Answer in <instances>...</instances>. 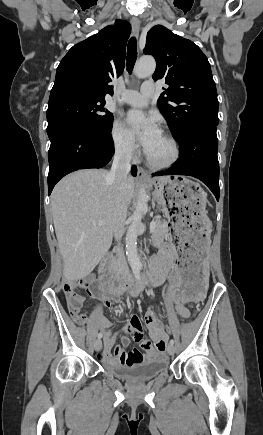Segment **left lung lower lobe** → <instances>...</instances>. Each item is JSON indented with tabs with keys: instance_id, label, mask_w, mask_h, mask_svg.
I'll return each mask as SVG.
<instances>
[{
	"instance_id": "left-lung-lower-lobe-1",
	"label": "left lung lower lobe",
	"mask_w": 263,
	"mask_h": 435,
	"mask_svg": "<svg viewBox=\"0 0 263 435\" xmlns=\"http://www.w3.org/2000/svg\"><path fill=\"white\" fill-rule=\"evenodd\" d=\"M217 128L202 127L188 130L179 139L180 159L172 169L152 176L189 175L204 182L219 200V163L217 157Z\"/></svg>"
}]
</instances>
